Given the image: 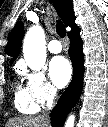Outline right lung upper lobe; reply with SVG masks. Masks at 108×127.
Instances as JSON below:
<instances>
[{
	"label": "right lung upper lobe",
	"instance_id": "obj_1",
	"mask_svg": "<svg viewBox=\"0 0 108 127\" xmlns=\"http://www.w3.org/2000/svg\"><path fill=\"white\" fill-rule=\"evenodd\" d=\"M54 3L59 16L62 18L65 25L70 26L72 29L76 27L73 4L71 0H54ZM23 32V23L19 21L16 23L10 33L5 53L13 57L12 61H14L19 55V48L22 42Z\"/></svg>",
	"mask_w": 108,
	"mask_h": 127
}]
</instances>
